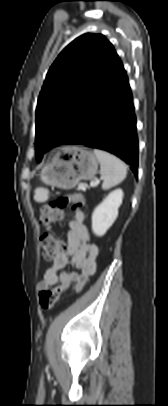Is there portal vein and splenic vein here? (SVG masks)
<instances>
[{"mask_svg": "<svg viewBox=\"0 0 168 406\" xmlns=\"http://www.w3.org/2000/svg\"><path fill=\"white\" fill-rule=\"evenodd\" d=\"M98 183H99L98 181H96V182H91V183H90V186H91V187H95V186L98 185Z\"/></svg>", "mask_w": 168, "mask_h": 406, "instance_id": "portal-vein-and-splenic-vein-1", "label": "portal vein and splenic vein"}]
</instances>
